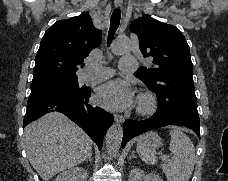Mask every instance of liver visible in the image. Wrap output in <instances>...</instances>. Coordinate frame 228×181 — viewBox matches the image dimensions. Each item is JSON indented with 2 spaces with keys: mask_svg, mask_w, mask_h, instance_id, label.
<instances>
[{
  "mask_svg": "<svg viewBox=\"0 0 228 181\" xmlns=\"http://www.w3.org/2000/svg\"><path fill=\"white\" fill-rule=\"evenodd\" d=\"M27 159L42 181L73 169L92 153L88 135L62 113H47L24 129Z\"/></svg>",
  "mask_w": 228,
  "mask_h": 181,
  "instance_id": "6515ba94",
  "label": "liver"
}]
</instances>
